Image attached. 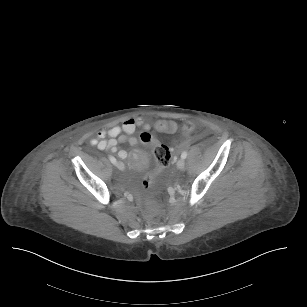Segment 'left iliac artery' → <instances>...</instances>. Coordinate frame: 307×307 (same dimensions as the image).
Here are the masks:
<instances>
[{"mask_svg": "<svg viewBox=\"0 0 307 307\" xmlns=\"http://www.w3.org/2000/svg\"><path fill=\"white\" fill-rule=\"evenodd\" d=\"M186 157H187V152L184 151V152L181 154V158H182V159H185Z\"/></svg>", "mask_w": 307, "mask_h": 307, "instance_id": "left-iliac-artery-1", "label": "left iliac artery"}]
</instances>
